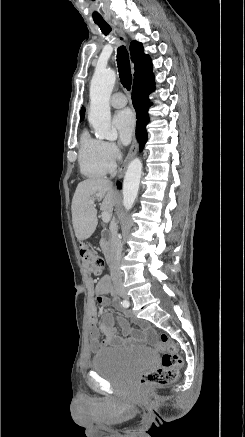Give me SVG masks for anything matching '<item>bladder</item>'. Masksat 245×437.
<instances>
[{
  "label": "bladder",
  "mask_w": 245,
  "mask_h": 437,
  "mask_svg": "<svg viewBox=\"0 0 245 437\" xmlns=\"http://www.w3.org/2000/svg\"><path fill=\"white\" fill-rule=\"evenodd\" d=\"M155 363L156 354L149 348H109L93 357L91 368L110 383L123 386L138 374L151 369Z\"/></svg>",
  "instance_id": "31cf9c89"
}]
</instances>
